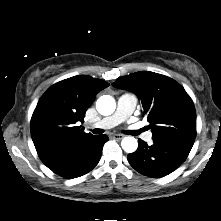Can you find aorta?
Here are the masks:
<instances>
[{"instance_id": "762f6f07", "label": "aorta", "mask_w": 221, "mask_h": 221, "mask_svg": "<svg viewBox=\"0 0 221 221\" xmlns=\"http://www.w3.org/2000/svg\"><path fill=\"white\" fill-rule=\"evenodd\" d=\"M115 108V99L110 95H103L96 102V109L101 115H111ZM121 146L125 152L132 153L137 150L138 142L134 137L128 136L122 139Z\"/></svg>"}]
</instances>
